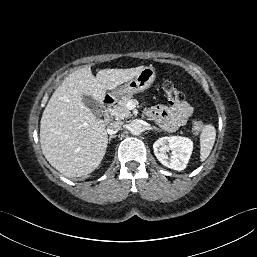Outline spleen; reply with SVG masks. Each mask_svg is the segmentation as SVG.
<instances>
[{"label": "spleen", "instance_id": "obj_1", "mask_svg": "<svg viewBox=\"0 0 257 257\" xmlns=\"http://www.w3.org/2000/svg\"><path fill=\"white\" fill-rule=\"evenodd\" d=\"M216 129L211 124L204 125L200 134V160L205 161L214 146Z\"/></svg>", "mask_w": 257, "mask_h": 257}]
</instances>
